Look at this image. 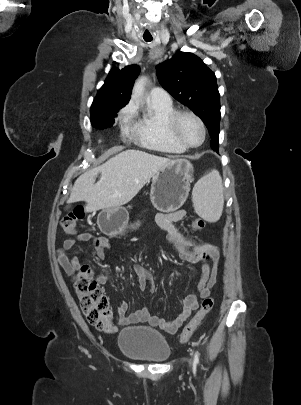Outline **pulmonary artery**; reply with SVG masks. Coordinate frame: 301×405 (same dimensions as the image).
Here are the masks:
<instances>
[{
    "mask_svg": "<svg viewBox=\"0 0 301 405\" xmlns=\"http://www.w3.org/2000/svg\"><path fill=\"white\" fill-rule=\"evenodd\" d=\"M150 102L160 104V105H170L172 104L170 95L161 87L153 88L148 96Z\"/></svg>",
    "mask_w": 301,
    "mask_h": 405,
    "instance_id": "obj_1",
    "label": "pulmonary artery"
}]
</instances>
